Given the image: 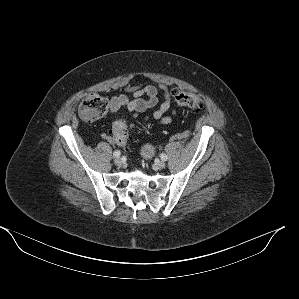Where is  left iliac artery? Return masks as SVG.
<instances>
[{"instance_id":"obj_1","label":"left iliac artery","mask_w":299,"mask_h":299,"mask_svg":"<svg viewBox=\"0 0 299 299\" xmlns=\"http://www.w3.org/2000/svg\"><path fill=\"white\" fill-rule=\"evenodd\" d=\"M160 157L164 161H166L168 159V156L166 154H161Z\"/></svg>"}]
</instances>
